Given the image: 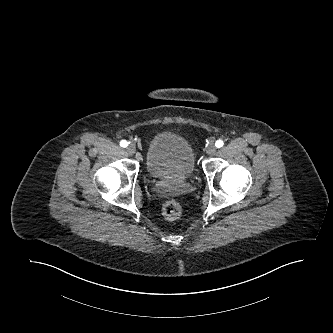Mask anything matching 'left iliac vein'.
I'll use <instances>...</instances> for the list:
<instances>
[{"label":"left iliac vein","instance_id":"left-iliac-vein-1","mask_svg":"<svg viewBox=\"0 0 333 333\" xmlns=\"http://www.w3.org/2000/svg\"><path fill=\"white\" fill-rule=\"evenodd\" d=\"M206 153H207L209 156H213V155H215V153H216V147H215L213 144L209 145V146L207 147V149H206Z\"/></svg>","mask_w":333,"mask_h":333}]
</instances>
